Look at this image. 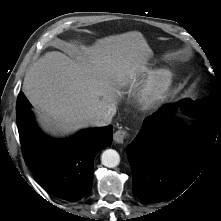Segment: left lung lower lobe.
<instances>
[{"instance_id":"left-lung-lower-lobe-1","label":"left lung lower lobe","mask_w":221,"mask_h":221,"mask_svg":"<svg viewBox=\"0 0 221 221\" xmlns=\"http://www.w3.org/2000/svg\"><path fill=\"white\" fill-rule=\"evenodd\" d=\"M171 109L165 105L145 118L126 148L133 194L145 203H157L181 192L197 178L214 146L221 143V119L196 117L195 125L185 130L166 117Z\"/></svg>"}]
</instances>
